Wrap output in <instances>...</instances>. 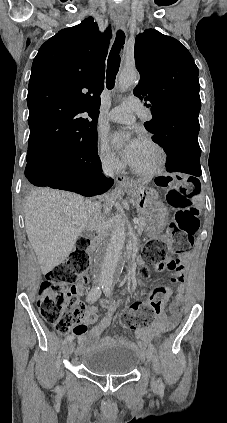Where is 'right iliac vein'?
I'll list each match as a JSON object with an SVG mask.
<instances>
[{"mask_svg":"<svg viewBox=\"0 0 227 423\" xmlns=\"http://www.w3.org/2000/svg\"><path fill=\"white\" fill-rule=\"evenodd\" d=\"M66 351H67V354L69 356L73 353V351H74V342L73 341H71L67 344Z\"/></svg>","mask_w":227,"mask_h":423,"instance_id":"right-iliac-vein-1","label":"right iliac vein"}]
</instances>
